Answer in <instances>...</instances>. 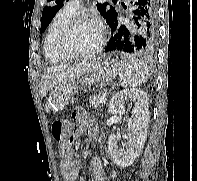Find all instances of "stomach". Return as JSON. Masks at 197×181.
Here are the masks:
<instances>
[{
    "label": "stomach",
    "mask_w": 197,
    "mask_h": 181,
    "mask_svg": "<svg viewBox=\"0 0 197 181\" xmlns=\"http://www.w3.org/2000/svg\"><path fill=\"white\" fill-rule=\"evenodd\" d=\"M121 64L111 57L98 58L90 62L88 71L81 77L64 81L56 85L50 92L48 107L54 111L63 110L70 99L86 85H102L113 80L121 73Z\"/></svg>",
    "instance_id": "obj_1"
}]
</instances>
